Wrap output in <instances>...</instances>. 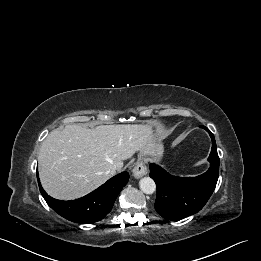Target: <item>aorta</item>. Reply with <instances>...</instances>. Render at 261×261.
<instances>
[{
    "label": "aorta",
    "mask_w": 261,
    "mask_h": 261,
    "mask_svg": "<svg viewBox=\"0 0 261 261\" xmlns=\"http://www.w3.org/2000/svg\"><path fill=\"white\" fill-rule=\"evenodd\" d=\"M139 186L145 194H153L156 191V184L150 177H144L140 180Z\"/></svg>",
    "instance_id": "762f6f07"
}]
</instances>
